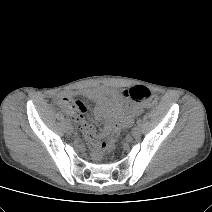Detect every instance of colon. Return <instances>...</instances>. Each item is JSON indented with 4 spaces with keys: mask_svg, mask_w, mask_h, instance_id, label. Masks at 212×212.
<instances>
[{
    "mask_svg": "<svg viewBox=\"0 0 212 212\" xmlns=\"http://www.w3.org/2000/svg\"><path fill=\"white\" fill-rule=\"evenodd\" d=\"M120 95L134 100L139 103H144L146 105L152 106L157 103V98L154 97L150 90L142 85L133 86L129 89L122 90ZM58 107L67 114H73L77 118L85 111V105L71 97H61L57 100ZM119 136V131L116 130L112 133L111 137L102 142L99 148V152H109L114 146L115 142Z\"/></svg>",
    "mask_w": 212,
    "mask_h": 212,
    "instance_id": "5ec220e1",
    "label": "colon"
}]
</instances>
